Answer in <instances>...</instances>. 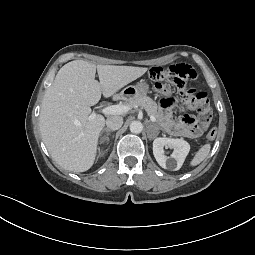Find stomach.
I'll return each mask as SVG.
<instances>
[{
	"mask_svg": "<svg viewBox=\"0 0 255 255\" xmlns=\"http://www.w3.org/2000/svg\"><path fill=\"white\" fill-rule=\"evenodd\" d=\"M149 92V85L145 81H140L134 86L126 87L122 92L121 96L123 98H135L139 96H144Z\"/></svg>",
	"mask_w": 255,
	"mask_h": 255,
	"instance_id": "obj_1",
	"label": "stomach"
}]
</instances>
